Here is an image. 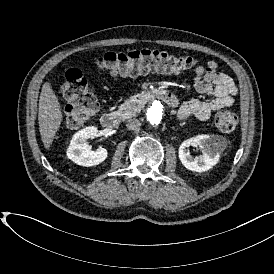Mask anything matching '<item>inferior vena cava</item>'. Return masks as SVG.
Instances as JSON below:
<instances>
[{
    "mask_svg": "<svg viewBox=\"0 0 274 274\" xmlns=\"http://www.w3.org/2000/svg\"><path fill=\"white\" fill-rule=\"evenodd\" d=\"M141 127V122L136 118H130L126 122V128L129 130H137Z\"/></svg>",
    "mask_w": 274,
    "mask_h": 274,
    "instance_id": "inferior-vena-cava-1",
    "label": "inferior vena cava"
}]
</instances>
